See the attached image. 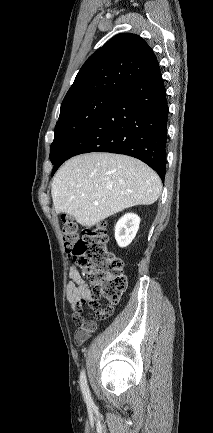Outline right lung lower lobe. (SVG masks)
Here are the masks:
<instances>
[{"label": "right lung lower lobe", "instance_id": "98d812e1", "mask_svg": "<svg viewBox=\"0 0 213 433\" xmlns=\"http://www.w3.org/2000/svg\"><path fill=\"white\" fill-rule=\"evenodd\" d=\"M167 122L166 89L157 63L70 142L53 163L52 175L72 156L102 151L140 159L164 181Z\"/></svg>", "mask_w": 213, "mask_h": 433}]
</instances>
